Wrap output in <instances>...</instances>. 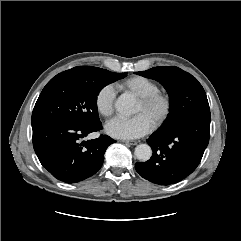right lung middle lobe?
Masks as SVG:
<instances>
[{"instance_id": "obj_1", "label": "right lung middle lobe", "mask_w": 241, "mask_h": 241, "mask_svg": "<svg viewBox=\"0 0 241 241\" xmlns=\"http://www.w3.org/2000/svg\"><path fill=\"white\" fill-rule=\"evenodd\" d=\"M127 73H114L95 67L89 75L62 72L42 90L32 113V125L61 121L82 127L101 124L97 96L106 85L122 79Z\"/></svg>"}]
</instances>
